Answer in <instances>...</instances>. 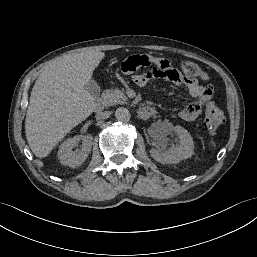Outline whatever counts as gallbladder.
Instances as JSON below:
<instances>
[{
    "mask_svg": "<svg viewBox=\"0 0 257 257\" xmlns=\"http://www.w3.org/2000/svg\"><path fill=\"white\" fill-rule=\"evenodd\" d=\"M85 89L93 96L98 97L100 94V86L95 80H91L85 85Z\"/></svg>",
    "mask_w": 257,
    "mask_h": 257,
    "instance_id": "1",
    "label": "gallbladder"
}]
</instances>
